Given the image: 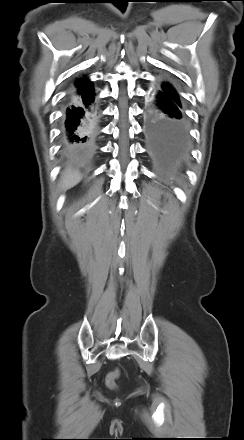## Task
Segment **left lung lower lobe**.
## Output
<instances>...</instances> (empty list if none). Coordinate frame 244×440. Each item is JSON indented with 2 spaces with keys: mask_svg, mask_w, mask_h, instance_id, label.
Here are the masks:
<instances>
[{
  "mask_svg": "<svg viewBox=\"0 0 244 440\" xmlns=\"http://www.w3.org/2000/svg\"><path fill=\"white\" fill-rule=\"evenodd\" d=\"M144 133L157 164L169 171L182 170L190 151L189 123L181 102L161 87L147 101Z\"/></svg>",
  "mask_w": 244,
  "mask_h": 440,
  "instance_id": "obj_1",
  "label": "left lung lower lobe"
}]
</instances>
